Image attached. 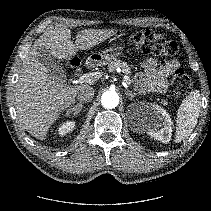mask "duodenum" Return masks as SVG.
<instances>
[{
	"label": "duodenum",
	"instance_id": "duodenum-1",
	"mask_svg": "<svg viewBox=\"0 0 211 211\" xmlns=\"http://www.w3.org/2000/svg\"><path fill=\"white\" fill-rule=\"evenodd\" d=\"M98 58H94V59H88L85 62L86 67H91L93 66L96 62H97Z\"/></svg>",
	"mask_w": 211,
	"mask_h": 211
}]
</instances>
